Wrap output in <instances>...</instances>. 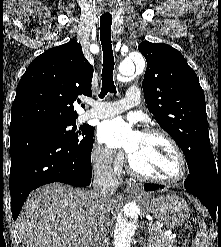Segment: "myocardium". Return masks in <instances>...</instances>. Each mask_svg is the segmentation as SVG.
<instances>
[{"mask_svg":"<svg viewBox=\"0 0 221 247\" xmlns=\"http://www.w3.org/2000/svg\"><path fill=\"white\" fill-rule=\"evenodd\" d=\"M143 134L159 136L166 140L175 150L180 162V173L174 178L164 179L155 176H151L140 172L133 164L130 156L127 158L128 168L132 175L135 177L149 182H154L163 185H175L185 181L189 175V165L185 153L178 142L166 131L156 128H148L143 131Z\"/></svg>","mask_w":221,"mask_h":247,"instance_id":"myocardium-1","label":"myocardium"}]
</instances>
